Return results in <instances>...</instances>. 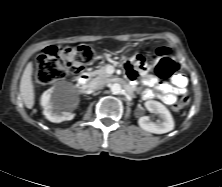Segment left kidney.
I'll return each instance as SVG.
<instances>
[{"label":"left kidney","instance_id":"obj_1","mask_svg":"<svg viewBox=\"0 0 222 187\" xmlns=\"http://www.w3.org/2000/svg\"><path fill=\"white\" fill-rule=\"evenodd\" d=\"M148 111L159 115V120L153 122L148 116H142L138 120L139 126L148 132L163 134L174 129V120L169 110L160 102L149 100L145 102Z\"/></svg>","mask_w":222,"mask_h":187}]
</instances>
